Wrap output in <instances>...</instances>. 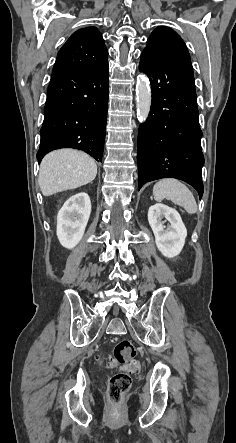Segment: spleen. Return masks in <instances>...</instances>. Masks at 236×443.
I'll use <instances>...</instances> for the list:
<instances>
[{"instance_id": "3e777b00", "label": "spleen", "mask_w": 236, "mask_h": 443, "mask_svg": "<svg viewBox=\"0 0 236 443\" xmlns=\"http://www.w3.org/2000/svg\"><path fill=\"white\" fill-rule=\"evenodd\" d=\"M153 196L157 201H162L164 198L171 200L183 207L189 214L197 212V204L192 192L176 179L167 178L158 181L153 187Z\"/></svg>"}]
</instances>
